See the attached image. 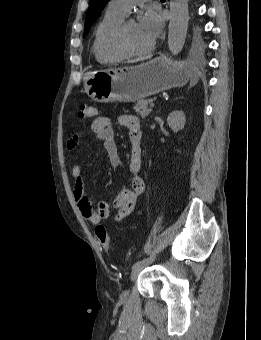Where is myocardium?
<instances>
[{
  "label": "myocardium",
  "mask_w": 261,
  "mask_h": 340,
  "mask_svg": "<svg viewBox=\"0 0 261 340\" xmlns=\"http://www.w3.org/2000/svg\"><path fill=\"white\" fill-rule=\"evenodd\" d=\"M133 19H124L119 26L115 29L112 36V47L115 51L120 53L124 57L141 56L149 53L154 48V43L143 50H132L128 47L126 41V30L129 23L133 22Z\"/></svg>",
  "instance_id": "f54148a6"
}]
</instances>
